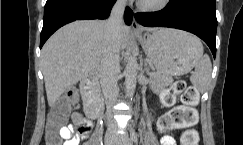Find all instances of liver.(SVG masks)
<instances>
[{
  "mask_svg": "<svg viewBox=\"0 0 243 145\" xmlns=\"http://www.w3.org/2000/svg\"><path fill=\"white\" fill-rule=\"evenodd\" d=\"M129 38L130 28L122 25L120 49L127 46ZM105 45L106 21L99 20L75 21L48 39L42 48L41 65L50 107L67 89L100 65Z\"/></svg>",
  "mask_w": 243,
  "mask_h": 145,
  "instance_id": "liver-1",
  "label": "liver"
}]
</instances>
